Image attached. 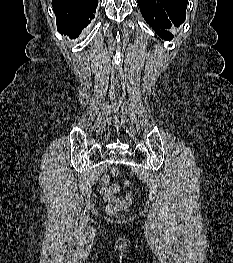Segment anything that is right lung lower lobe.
Returning <instances> with one entry per match:
<instances>
[{
	"label": "right lung lower lobe",
	"mask_w": 233,
	"mask_h": 263,
	"mask_svg": "<svg viewBox=\"0 0 233 263\" xmlns=\"http://www.w3.org/2000/svg\"><path fill=\"white\" fill-rule=\"evenodd\" d=\"M98 0H52L57 30L76 38L94 18Z\"/></svg>",
	"instance_id": "1"
}]
</instances>
